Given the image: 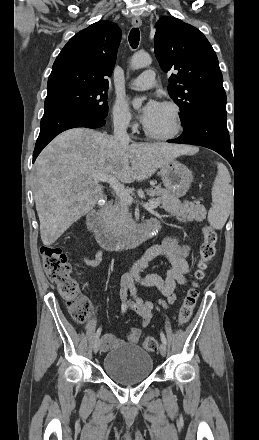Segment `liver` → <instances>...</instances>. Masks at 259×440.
<instances>
[{
  "mask_svg": "<svg viewBox=\"0 0 259 440\" xmlns=\"http://www.w3.org/2000/svg\"><path fill=\"white\" fill-rule=\"evenodd\" d=\"M196 151L168 143H122L88 128L59 134L35 163L34 200L43 244L52 245L103 196L94 175L142 181L171 159Z\"/></svg>",
  "mask_w": 259,
  "mask_h": 440,
  "instance_id": "1",
  "label": "liver"
}]
</instances>
